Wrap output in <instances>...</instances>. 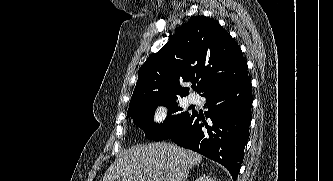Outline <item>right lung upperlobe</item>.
Returning a JSON list of instances; mask_svg holds the SVG:
<instances>
[{"label":"right lung upper lobe","mask_w":333,"mask_h":181,"mask_svg":"<svg viewBox=\"0 0 333 181\" xmlns=\"http://www.w3.org/2000/svg\"><path fill=\"white\" fill-rule=\"evenodd\" d=\"M247 76V63L230 34L213 19L193 17L141 66L129 109L188 94L179 79L195 83L201 78L196 90L203 95Z\"/></svg>","instance_id":"cb5924a9"}]
</instances>
